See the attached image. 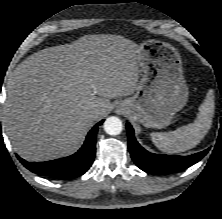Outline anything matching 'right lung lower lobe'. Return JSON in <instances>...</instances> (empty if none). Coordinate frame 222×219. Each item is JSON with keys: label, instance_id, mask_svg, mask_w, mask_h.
<instances>
[{"label": "right lung lower lobe", "instance_id": "right-lung-lower-lobe-1", "mask_svg": "<svg viewBox=\"0 0 222 219\" xmlns=\"http://www.w3.org/2000/svg\"><path fill=\"white\" fill-rule=\"evenodd\" d=\"M97 123L88 133L83 146L75 154L46 162H27L18 156L19 161L31 172L54 179H70L83 175L92 165L96 153Z\"/></svg>", "mask_w": 222, "mask_h": 219}]
</instances>
